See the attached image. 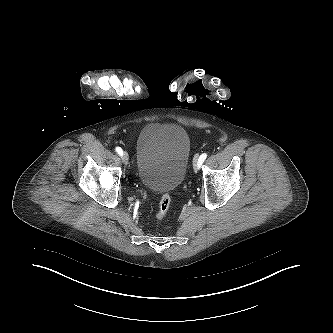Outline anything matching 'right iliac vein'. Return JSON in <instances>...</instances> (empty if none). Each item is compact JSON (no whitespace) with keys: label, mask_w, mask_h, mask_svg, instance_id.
<instances>
[{"label":"right iliac vein","mask_w":333,"mask_h":333,"mask_svg":"<svg viewBox=\"0 0 333 333\" xmlns=\"http://www.w3.org/2000/svg\"><path fill=\"white\" fill-rule=\"evenodd\" d=\"M122 161H123V163L125 165H128V163H129V156H128V154L126 152L123 153V155H122Z\"/></svg>","instance_id":"right-iliac-vein-1"}]
</instances>
